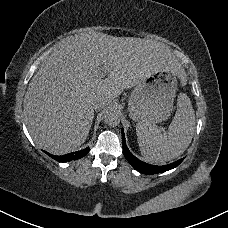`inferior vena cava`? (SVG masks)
<instances>
[{"label": "inferior vena cava", "mask_w": 228, "mask_h": 228, "mask_svg": "<svg viewBox=\"0 0 228 228\" xmlns=\"http://www.w3.org/2000/svg\"><path fill=\"white\" fill-rule=\"evenodd\" d=\"M106 106V103L100 98H94L92 100V107L95 111L102 110Z\"/></svg>", "instance_id": "obj_1"}]
</instances>
